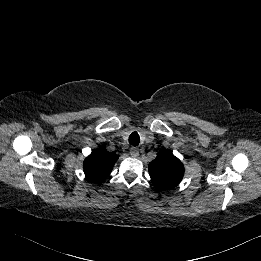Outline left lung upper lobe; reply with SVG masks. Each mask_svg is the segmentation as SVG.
<instances>
[{
  "mask_svg": "<svg viewBox=\"0 0 261 261\" xmlns=\"http://www.w3.org/2000/svg\"><path fill=\"white\" fill-rule=\"evenodd\" d=\"M148 167L151 181L160 191L177 186L184 175L183 164L167 149L160 151Z\"/></svg>",
  "mask_w": 261,
  "mask_h": 261,
  "instance_id": "left-lung-upper-lobe-1",
  "label": "left lung upper lobe"
}]
</instances>
